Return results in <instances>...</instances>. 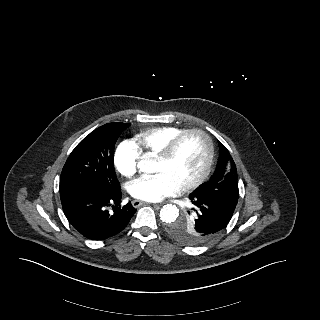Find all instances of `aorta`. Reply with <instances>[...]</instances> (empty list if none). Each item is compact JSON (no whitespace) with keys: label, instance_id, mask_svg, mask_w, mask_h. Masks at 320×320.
<instances>
[{"label":"aorta","instance_id":"obj_1","mask_svg":"<svg viewBox=\"0 0 320 320\" xmlns=\"http://www.w3.org/2000/svg\"><path fill=\"white\" fill-rule=\"evenodd\" d=\"M153 162L148 160L140 161V171L145 173H153ZM160 219L165 223L174 222L179 216V209L173 204L164 205L160 210Z\"/></svg>","mask_w":320,"mask_h":320}]
</instances>
